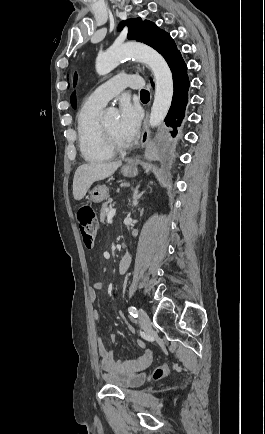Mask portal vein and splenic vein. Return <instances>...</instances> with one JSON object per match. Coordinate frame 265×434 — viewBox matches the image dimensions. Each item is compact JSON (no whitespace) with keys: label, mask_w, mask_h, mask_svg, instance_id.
<instances>
[{"label":"portal vein and splenic vein","mask_w":265,"mask_h":434,"mask_svg":"<svg viewBox=\"0 0 265 434\" xmlns=\"http://www.w3.org/2000/svg\"><path fill=\"white\" fill-rule=\"evenodd\" d=\"M115 214H116V210H110V212L108 214V218H107L108 224H110V222H111L113 216H115Z\"/></svg>","instance_id":"18ae733b"}]
</instances>
